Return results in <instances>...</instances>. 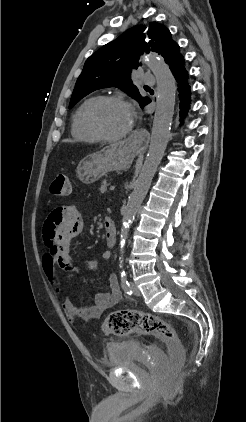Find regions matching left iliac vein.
Wrapping results in <instances>:
<instances>
[{
  "label": "left iliac vein",
  "instance_id": "4c4485c4",
  "mask_svg": "<svg viewBox=\"0 0 246 422\" xmlns=\"http://www.w3.org/2000/svg\"><path fill=\"white\" fill-rule=\"evenodd\" d=\"M131 289H132V292H133L134 295H136V296L141 295L139 288L137 287V285L134 282L131 283Z\"/></svg>",
  "mask_w": 246,
  "mask_h": 422
}]
</instances>
